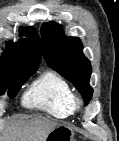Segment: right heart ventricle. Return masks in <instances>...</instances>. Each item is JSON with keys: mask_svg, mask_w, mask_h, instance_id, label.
Segmentation results:
<instances>
[{"mask_svg": "<svg viewBox=\"0 0 119 141\" xmlns=\"http://www.w3.org/2000/svg\"><path fill=\"white\" fill-rule=\"evenodd\" d=\"M74 93L68 81L55 71H45L24 96V103L53 117L64 119L73 113Z\"/></svg>", "mask_w": 119, "mask_h": 141, "instance_id": "e07e8e85", "label": "right heart ventricle"}]
</instances>
